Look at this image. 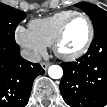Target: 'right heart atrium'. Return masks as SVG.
Masks as SVG:
<instances>
[{
  "mask_svg": "<svg viewBox=\"0 0 107 107\" xmlns=\"http://www.w3.org/2000/svg\"><path fill=\"white\" fill-rule=\"evenodd\" d=\"M17 42L34 57L45 54L46 46L32 33L29 28L18 26L15 31Z\"/></svg>",
  "mask_w": 107,
  "mask_h": 107,
  "instance_id": "obj_1",
  "label": "right heart atrium"
}]
</instances>
